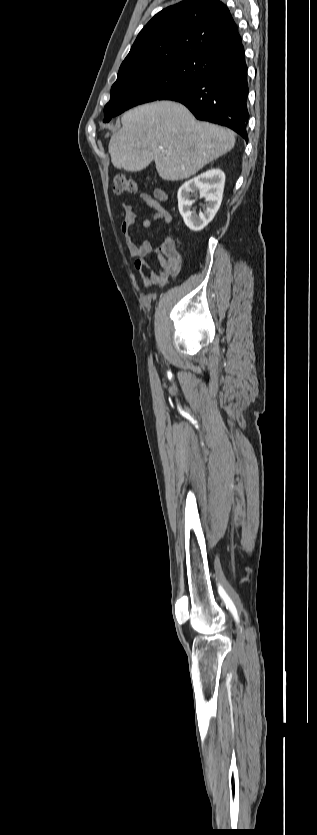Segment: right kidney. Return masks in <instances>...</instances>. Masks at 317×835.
Masks as SVG:
<instances>
[{
    "label": "right kidney",
    "mask_w": 317,
    "mask_h": 835,
    "mask_svg": "<svg viewBox=\"0 0 317 835\" xmlns=\"http://www.w3.org/2000/svg\"><path fill=\"white\" fill-rule=\"evenodd\" d=\"M224 184V172L218 168H213L186 181L179 188V212L190 230L200 231L212 221L221 205ZM197 191H199L200 198H204L206 201L204 210L199 215L191 211L194 202L191 200V194Z\"/></svg>",
    "instance_id": "right-kidney-1"
}]
</instances>
